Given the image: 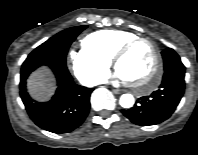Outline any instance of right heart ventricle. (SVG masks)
<instances>
[{
	"instance_id": "obj_1",
	"label": "right heart ventricle",
	"mask_w": 198,
	"mask_h": 155,
	"mask_svg": "<svg viewBox=\"0 0 198 155\" xmlns=\"http://www.w3.org/2000/svg\"><path fill=\"white\" fill-rule=\"evenodd\" d=\"M137 36V34L130 31L104 29L87 35L83 40V45L99 56L110 61L121 45Z\"/></svg>"
}]
</instances>
